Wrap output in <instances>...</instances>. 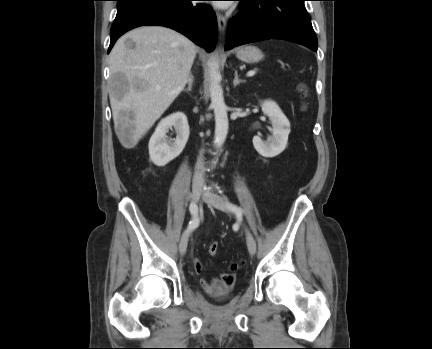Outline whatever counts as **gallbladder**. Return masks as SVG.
Returning <instances> with one entry per match:
<instances>
[{
  "label": "gallbladder",
  "mask_w": 432,
  "mask_h": 349,
  "mask_svg": "<svg viewBox=\"0 0 432 349\" xmlns=\"http://www.w3.org/2000/svg\"><path fill=\"white\" fill-rule=\"evenodd\" d=\"M118 76L120 77V76H122L121 74H118Z\"/></svg>",
  "instance_id": "1"
}]
</instances>
